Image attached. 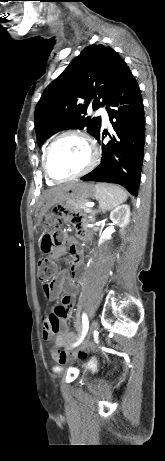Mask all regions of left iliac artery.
Segmentation results:
<instances>
[{
    "label": "left iliac artery",
    "mask_w": 165,
    "mask_h": 461,
    "mask_svg": "<svg viewBox=\"0 0 165 461\" xmlns=\"http://www.w3.org/2000/svg\"><path fill=\"white\" fill-rule=\"evenodd\" d=\"M82 323H83V336H82L81 340L83 339V337H84L85 334L87 333L88 325H89V323H88V318H87V316H86L85 314H83ZM81 340H80V341H81ZM77 344H79V342H78ZM77 344H76V345H77Z\"/></svg>",
    "instance_id": "obj_1"
}]
</instances>
